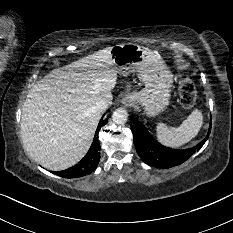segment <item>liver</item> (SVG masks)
Listing matches in <instances>:
<instances>
[{"label":"liver","instance_id":"obj_1","mask_svg":"<svg viewBox=\"0 0 233 233\" xmlns=\"http://www.w3.org/2000/svg\"><path fill=\"white\" fill-rule=\"evenodd\" d=\"M104 48L51 71L29 91L22 108L21 137L41 166L58 171L79 162L89 150L100 113L93 106L112 102L118 71Z\"/></svg>","mask_w":233,"mask_h":233}]
</instances>
